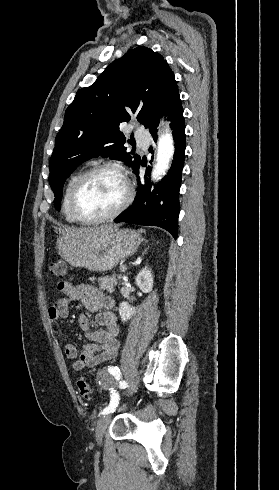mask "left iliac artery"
<instances>
[{
	"instance_id": "obj_1",
	"label": "left iliac artery",
	"mask_w": 279,
	"mask_h": 490,
	"mask_svg": "<svg viewBox=\"0 0 279 490\" xmlns=\"http://www.w3.org/2000/svg\"><path fill=\"white\" fill-rule=\"evenodd\" d=\"M108 371L114 375L115 377H120V370L119 368L116 366V367H109L108 368ZM126 383H125V387H126ZM119 400H120V396H119V393L116 392V390H112L111 391V400H110V404L108 407H106L103 411H102V414H110L112 412L115 411L116 407L118 406L119 404Z\"/></svg>"
}]
</instances>
